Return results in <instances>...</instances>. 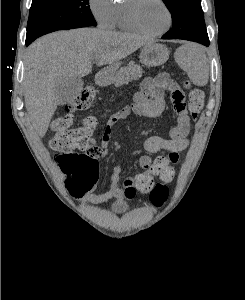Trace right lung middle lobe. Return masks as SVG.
Listing matches in <instances>:
<instances>
[{"label":"right lung middle lobe","mask_w":245,"mask_h":300,"mask_svg":"<svg viewBox=\"0 0 245 300\" xmlns=\"http://www.w3.org/2000/svg\"><path fill=\"white\" fill-rule=\"evenodd\" d=\"M96 26L89 0H32L26 40L57 30Z\"/></svg>","instance_id":"1"}]
</instances>
